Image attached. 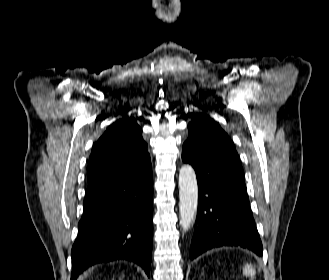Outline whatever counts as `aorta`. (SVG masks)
<instances>
[{"label": "aorta", "mask_w": 329, "mask_h": 280, "mask_svg": "<svg viewBox=\"0 0 329 280\" xmlns=\"http://www.w3.org/2000/svg\"><path fill=\"white\" fill-rule=\"evenodd\" d=\"M179 215L184 231L190 229L198 206V185L195 171L191 165L185 164L179 172Z\"/></svg>", "instance_id": "obj_1"}]
</instances>
